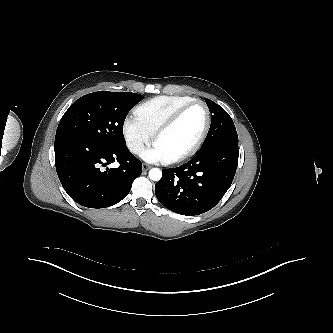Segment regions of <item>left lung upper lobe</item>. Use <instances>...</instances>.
Listing matches in <instances>:
<instances>
[{
	"label": "left lung upper lobe",
	"instance_id": "left-lung-upper-lobe-1",
	"mask_svg": "<svg viewBox=\"0 0 333 333\" xmlns=\"http://www.w3.org/2000/svg\"><path fill=\"white\" fill-rule=\"evenodd\" d=\"M205 101L212 115L210 129L201 148L223 141L238 142L235 125L229 114L212 100Z\"/></svg>",
	"mask_w": 333,
	"mask_h": 333
}]
</instances>
